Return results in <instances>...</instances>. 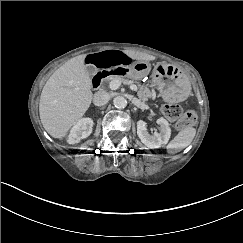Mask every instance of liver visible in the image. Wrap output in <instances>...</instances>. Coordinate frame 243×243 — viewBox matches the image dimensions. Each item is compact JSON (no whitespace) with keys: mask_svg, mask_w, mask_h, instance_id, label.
Listing matches in <instances>:
<instances>
[{"mask_svg":"<svg viewBox=\"0 0 243 243\" xmlns=\"http://www.w3.org/2000/svg\"><path fill=\"white\" fill-rule=\"evenodd\" d=\"M123 52L136 60H155V56L147 53ZM85 57V54L76 56L59 67L43 87L39 102L40 119L44 129L54 138L66 136L91 104L93 94Z\"/></svg>","mask_w":243,"mask_h":243,"instance_id":"6515ba94","label":"liver"}]
</instances>
